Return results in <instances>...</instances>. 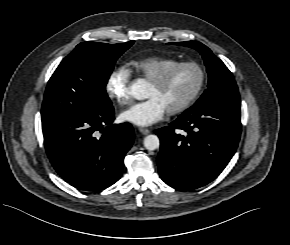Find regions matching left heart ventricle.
Listing matches in <instances>:
<instances>
[{"mask_svg":"<svg viewBox=\"0 0 290 245\" xmlns=\"http://www.w3.org/2000/svg\"><path fill=\"white\" fill-rule=\"evenodd\" d=\"M200 80L199 72L194 68H182L175 71L163 86L149 84L146 98H157L167 110L184 102L196 89Z\"/></svg>","mask_w":290,"mask_h":245,"instance_id":"obj_1","label":"left heart ventricle"}]
</instances>
